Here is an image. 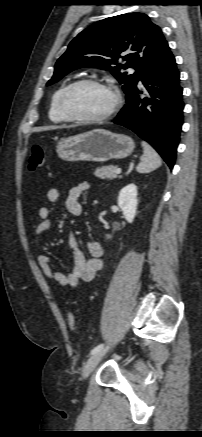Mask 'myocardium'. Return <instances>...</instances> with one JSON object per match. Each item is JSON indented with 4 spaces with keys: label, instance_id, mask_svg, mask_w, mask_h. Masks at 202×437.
I'll return each instance as SVG.
<instances>
[{
    "label": "myocardium",
    "instance_id": "myocardium-1",
    "mask_svg": "<svg viewBox=\"0 0 202 437\" xmlns=\"http://www.w3.org/2000/svg\"><path fill=\"white\" fill-rule=\"evenodd\" d=\"M83 85L97 86L106 89L112 93L114 98L113 104L106 113L96 117H83V116L75 115L69 110L67 104L69 96L75 89ZM121 104H122V96L117 87H115L110 83H106L93 78H83L69 84L62 92L59 99V108L62 115L68 121L75 122V123H82V124H99L111 119L117 113Z\"/></svg>",
    "mask_w": 202,
    "mask_h": 437
}]
</instances>
